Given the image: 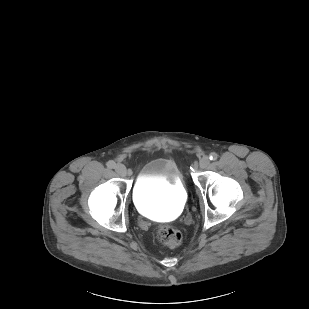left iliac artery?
<instances>
[{
	"label": "left iliac artery",
	"instance_id": "left-iliac-artery-1",
	"mask_svg": "<svg viewBox=\"0 0 309 309\" xmlns=\"http://www.w3.org/2000/svg\"><path fill=\"white\" fill-rule=\"evenodd\" d=\"M210 160L215 161L218 158V154L215 152H212L209 156Z\"/></svg>",
	"mask_w": 309,
	"mask_h": 309
}]
</instances>
